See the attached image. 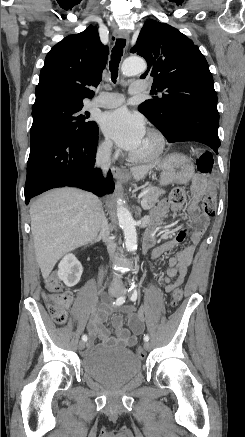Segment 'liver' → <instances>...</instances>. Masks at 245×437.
Instances as JSON below:
<instances>
[{
  "label": "liver",
  "instance_id": "6515ba94",
  "mask_svg": "<svg viewBox=\"0 0 245 437\" xmlns=\"http://www.w3.org/2000/svg\"><path fill=\"white\" fill-rule=\"evenodd\" d=\"M154 165L132 169L142 180ZM102 204L95 195L75 188L53 190L30 206L35 255L44 279L66 253L92 242L101 224Z\"/></svg>",
  "mask_w": 245,
  "mask_h": 437
}]
</instances>
